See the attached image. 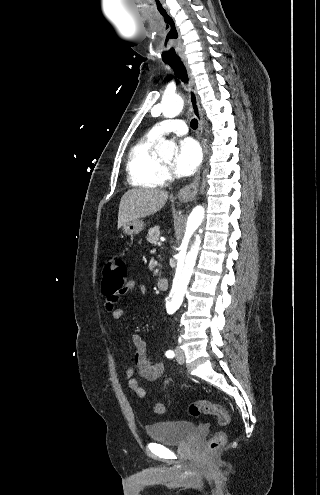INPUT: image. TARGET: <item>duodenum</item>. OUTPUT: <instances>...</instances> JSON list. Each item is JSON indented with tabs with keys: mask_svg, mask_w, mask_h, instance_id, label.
Segmentation results:
<instances>
[{
	"mask_svg": "<svg viewBox=\"0 0 320 495\" xmlns=\"http://www.w3.org/2000/svg\"><path fill=\"white\" fill-rule=\"evenodd\" d=\"M157 286L160 290L164 291L168 289L169 282L166 278H161L158 280Z\"/></svg>",
	"mask_w": 320,
	"mask_h": 495,
	"instance_id": "duodenum-1",
	"label": "duodenum"
}]
</instances>
